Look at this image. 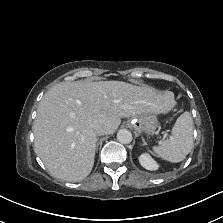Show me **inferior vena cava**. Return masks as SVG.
I'll return each mask as SVG.
<instances>
[{
  "label": "inferior vena cava",
  "instance_id": "inferior-vena-cava-1",
  "mask_svg": "<svg viewBox=\"0 0 223 223\" xmlns=\"http://www.w3.org/2000/svg\"><path fill=\"white\" fill-rule=\"evenodd\" d=\"M94 132L96 135L101 136L106 134V128L105 126L98 124L94 126Z\"/></svg>",
  "mask_w": 223,
  "mask_h": 223
}]
</instances>
